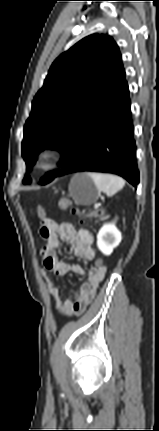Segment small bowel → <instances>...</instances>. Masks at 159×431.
Here are the masks:
<instances>
[{
  "mask_svg": "<svg viewBox=\"0 0 159 431\" xmlns=\"http://www.w3.org/2000/svg\"><path fill=\"white\" fill-rule=\"evenodd\" d=\"M40 234L46 243L41 249V257L44 263L43 275L48 272L55 276H64L68 273L82 275L84 269L78 264H70L60 261L57 257V249L60 245V239L68 242L76 257L83 260H92L95 257V251L92 247L93 236L87 230H78L70 223H58L47 218L42 222ZM107 273V265L98 263L90 268L88 279L81 286L73 289L71 294L64 302H58L57 309L65 315L79 314L92 302L98 288ZM48 292L56 298H59L61 287L56 285L51 279L47 280Z\"/></svg>",
  "mask_w": 159,
  "mask_h": 431,
  "instance_id": "1",
  "label": "small bowel"
}]
</instances>
